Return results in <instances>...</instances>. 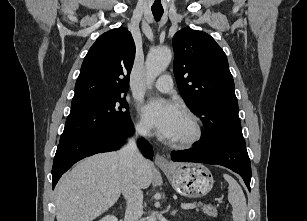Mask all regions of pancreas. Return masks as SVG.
Returning a JSON list of instances; mask_svg holds the SVG:
<instances>
[{"mask_svg":"<svg viewBox=\"0 0 307 221\" xmlns=\"http://www.w3.org/2000/svg\"><path fill=\"white\" fill-rule=\"evenodd\" d=\"M202 206V204H200ZM201 210L203 213L207 214L208 216L217 217V209L209 206V205H203L201 207Z\"/></svg>","mask_w":307,"mask_h":221,"instance_id":"pancreas-1","label":"pancreas"}]
</instances>
